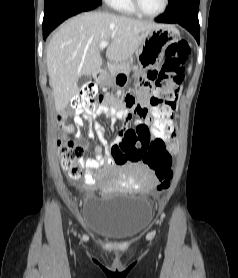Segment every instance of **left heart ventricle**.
I'll return each mask as SVG.
<instances>
[{
    "mask_svg": "<svg viewBox=\"0 0 238 278\" xmlns=\"http://www.w3.org/2000/svg\"><path fill=\"white\" fill-rule=\"evenodd\" d=\"M164 0H139L142 9L149 13H158L163 7Z\"/></svg>",
    "mask_w": 238,
    "mask_h": 278,
    "instance_id": "b2bd125f",
    "label": "left heart ventricle"
}]
</instances>
